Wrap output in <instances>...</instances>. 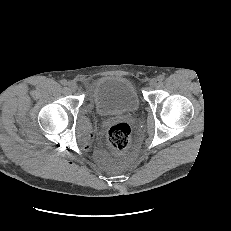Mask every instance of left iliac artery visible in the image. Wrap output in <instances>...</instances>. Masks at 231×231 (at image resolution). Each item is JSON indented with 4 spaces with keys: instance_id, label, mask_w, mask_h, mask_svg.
Here are the masks:
<instances>
[{
    "instance_id": "obj_1",
    "label": "left iliac artery",
    "mask_w": 231,
    "mask_h": 231,
    "mask_svg": "<svg viewBox=\"0 0 231 231\" xmlns=\"http://www.w3.org/2000/svg\"><path fill=\"white\" fill-rule=\"evenodd\" d=\"M158 81L162 82L164 79H165V76L164 75H159L157 77Z\"/></svg>"
}]
</instances>
